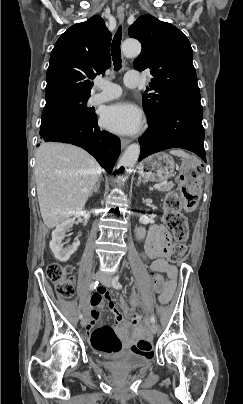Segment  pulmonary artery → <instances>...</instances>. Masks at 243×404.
Instances as JSON below:
<instances>
[{
    "mask_svg": "<svg viewBox=\"0 0 243 404\" xmlns=\"http://www.w3.org/2000/svg\"><path fill=\"white\" fill-rule=\"evenodd\" d=\"M123 83L125 86L134 88L141 85L138 77L131 75L129 73L124 75ZM95 87L97 88V93L92 95L91 101L94 104L103 103L112 99H115L121 94V87L115 83H112L101 77H97L94 80Z\"/></svg>",
    "mask_w": 243,
    "mask_h": 404,
    "instance_id": "obj_1",
    "label": "pulmonary artery"
}]
</instances>
